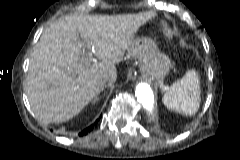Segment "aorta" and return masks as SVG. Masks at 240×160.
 Masks as SVG:
<instances>
[{"mask_svg":"<svg viewBox=\"0 0 240 160\" xmlns=\"http://www.w3.org/2000/svg\"><path fill=\"white\" fill-rule=\"evenodd\" d=\"M135 95L137 97L138 102L141 104L143 109L151 114L154 109V94L153 91L147 83H139L136 86Z\"/></svg>","mask_w":240,"mask_h":160,"instance_id":"aorta-1","label":"aorta"}]
</instances>
